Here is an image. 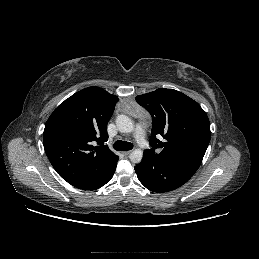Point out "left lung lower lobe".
<instances>
[{
  "mask_svg": "<svg viewBox=\"0 0 259 259\" xmlns=\"http://www.w3.org/2000/svg\"><path fill=\"white\" fill-rule=\"evenodd\" d=\"M140 182L153 192H168L185 184L196 170L144 153L134 168Z\"/></svg>",
  "mask_w": 259,
  "mask_h": 259,
  "instance_id": "1",
  "label": "left lung lower lobe"
}]
</instances>
